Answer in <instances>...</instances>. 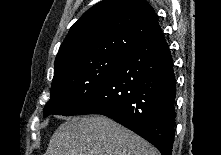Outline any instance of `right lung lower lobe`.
Returning a JSON list of instances; mask_svg holds the SVG:
<instances>
[{
    "instance_id": "right-lung-lower-lobe-1",
    "label": "right lung lower lobe",
    "mask_w": 221,
    "mask_h": 155,
    "mask_svg": "<svg viewBox=\"0 0 221 155\" xmlns=\"http://www.w3.org/2000/svg\"><path fill=\"white\" fill-rule=\"evenodd\" d=\"M175 96L172 56L159 33L125 54L78 115H105L149 141L161 155H171Z\"/></svg>"
}]
</instances>
